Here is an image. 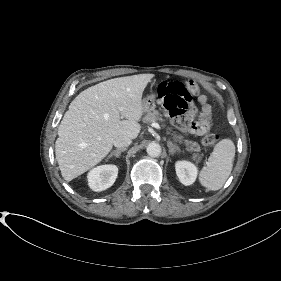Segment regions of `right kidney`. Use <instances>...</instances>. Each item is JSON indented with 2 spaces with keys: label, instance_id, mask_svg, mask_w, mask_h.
<instances>
[{
  "label": "right kidney",
  "instance_id": "ca27d5eb",
  "mask_svg": "<svg viewBox=\"0 0 281 281\" xmlns=\"http://www.w3.org/2000/svg\"><path fill=\"white\" fill-rule=\"evenodd\" d=\"M118 175L116 165L106 164L91 169L87 175L89 187L96 192L111 187Z\"/></svg>",
  "mask_w": 281,
  "mask_h": 281
}]
</instances>
